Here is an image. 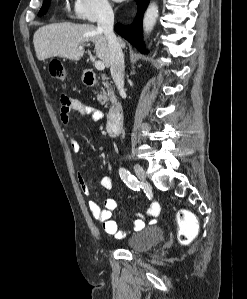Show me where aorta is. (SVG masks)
<instances>
[{"instance_id":"1","label":"aorta","mask_w":247,"mask_h":299,"mask_svg":"<svg viewBox=\"0 0 247 299\" xmlns=\"http://www.w3.org/2000/svg\"><path fill=\"white\" fill-rule=\"evenodd\" d=\"M158 16V6L155 3H150L143 19L144 34H149L156 23Z\"/></svg>"}]
</instances>
